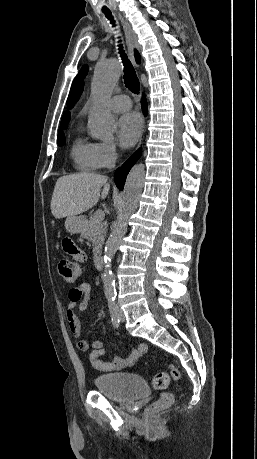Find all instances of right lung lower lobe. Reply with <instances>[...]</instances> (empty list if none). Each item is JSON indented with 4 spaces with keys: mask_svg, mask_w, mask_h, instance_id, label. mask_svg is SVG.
<instances>
[{
    "mask_svg": "<svg viewBox=\"0 0 257 459\" xmlns=\"http://www.w3.org/2000/svg\"><path fill=\"white\" fill-rule=\"evenodd\" d=\"M142 109L144 114L147 112L146 100L142 99ZM141 155V150L139 149L135 154H133L123 165L115 171L114 179L118 189L123 190L126 176L130 171L131 167L139 159Z\"/></svg>",
    "mask_w": 257,
    "mask_h": 459,
    "instance_id": "1",
    "label": "right lung lower lobe"
}]
</instances>
